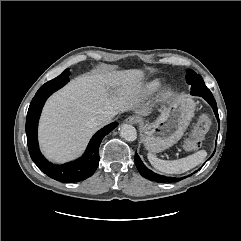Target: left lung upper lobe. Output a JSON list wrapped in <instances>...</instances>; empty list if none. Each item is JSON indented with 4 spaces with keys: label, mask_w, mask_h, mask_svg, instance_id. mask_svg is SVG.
<instances>
[{
    "label": "left lung upper lobe",
    "mask_w": 241,
    "mask_h": 241,
    "mask_svg": "<svg viewBox=\"0 0 241 241\" xmlns=\"http://www.w3.org/2000/svg\"><path fill=\"white\" fill-rule=\"evenodd\" d=\"M191 72H192V74L189 72L191 75L187 74L186 76L190 77V79L193 81V84H198L197 88H200V89H202L204 91H210L206 87L202 77L200 75H196V73L194 71H192V70H191Z\"/></svg>",
    "instance_id": "left-lung-upper-lobe-1"
}]
</instances>
